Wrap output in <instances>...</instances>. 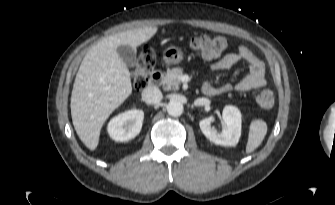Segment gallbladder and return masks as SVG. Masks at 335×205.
Instances as JSON below:
<instances>
[{
    "mask_svg": "<svg viewBox=\"0 0 335 205\" xmlns=\"http://www.w3.org/2000/svg\"><path fill=\"white\" fill-rule=\"evenodd\" d=\"M117 53L122 61L130 68H134L137 65V54L135 48L129 45H119L117 47Z\"/></svg>",
    "mask_w": 335,
    "mask_h": 205,
    "instance_id": "gallbladder-1",
    "label": "gallbladder"
}]
</instances>
